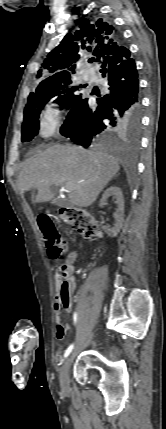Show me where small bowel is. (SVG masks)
I'll return each mask as SVG.
<instances>
[{"mask_svg":"<svg viewBox=\"0 0 166 429\" xmlns=\"http://www.w3.org/2000/svg\"><path fill=\"white\" fill-rule=\"evenodd\" d=\"M78 257L77 251H71L66 259L65 262L59 266L57 272H56V288L57 293L55 296V311H56V337L59 340H63L65 338L66 332L69 330V326L67 324L62 323L61 321V312L62 310H65L69 312L71 310L72 306V300H71V290L74 287V281L71 278L73 274V265ZM67 278L69 285H70V291L68 293H65L63 290L62 279Z\"/></svg>","mask_w":166,"mask_h":429,"instance_id":"1","label":"small bowel"}]
</instances>
